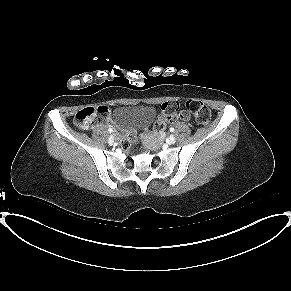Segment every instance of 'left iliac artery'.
Segmentation results:
<instances>
[{
    "instance_id": "44dca946",
    "label": "left iliac artery",
    "mask_w": 291,
    "mask_h": 291,
    "mask_svg": "<svg viewBox=\"0 0 291 291\" xmlns=\"http://www.w3.org/2000/svg\"><path fill=\"white\" fill-rule=\"evenodd\" d=\"M174 130H175V129H174L173 127H172V128H170V131H171V132H174Z\"/></svg>"
}]
</instances>
